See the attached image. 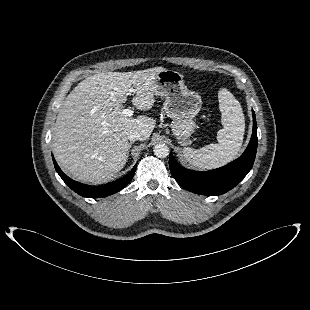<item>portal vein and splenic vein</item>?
<instances>
[{
    "label": "portal vein and splenic vein",
    "instance_id": "obj_1",
    "mask_svg": "<svg viewBox=\"0 0 310 310\" xmlns=\"http://www.w3.org/2000/svg\"><path fill=\"white\" fill-rule=\"evenodd\" d=\"M130 92H133V89H130ZM134 111L131 109H123L122 114L128 117L133 116Z\"/></svg>",
    "mask_w": 310,
    "mask_h": 310
}]
</instances>
